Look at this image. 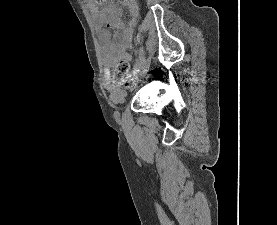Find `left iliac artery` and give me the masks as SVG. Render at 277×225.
Wrapping results in <instances>:
<instances>
[{
    "label": "left iliac artery",
    "mask_w": 277,
    "mask_h": 225,
    "mask_svg": "<svg viewBox=\"0 0 277 225\" xmlns=\"http://www.w3.org/2000/svg\"><path fill=\"white\" fill-rule=\"evenodd\" d=\"M145 61V51L143 49V47H140L139 49V57L136 63V73H138L142 68H143V64Z\"/></svg>",
    "instance_id": "obj_1"
}]
</instances>
